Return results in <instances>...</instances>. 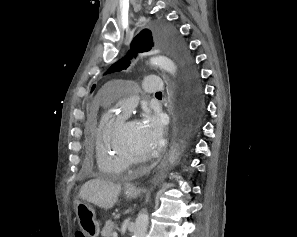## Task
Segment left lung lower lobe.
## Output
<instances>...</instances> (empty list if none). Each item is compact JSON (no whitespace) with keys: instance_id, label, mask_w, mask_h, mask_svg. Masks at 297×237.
<instances>
[{"instance_id":"1","label":"left lung lower lobe","mask_w":297,"mask_h":237,"mask_svg":"<svg viewBox=\"0 0 297 237\" xmlns=\"http://www.w3.org/2000/svg\"><path fill=\"white\" fill-rule=\"evenodd\" d=\"M203 110V106L197 105L193 99L183 95L179 102V113L182 118V141L187 140L186 137L198 126Z\"/></svg>"}]
</instances>
